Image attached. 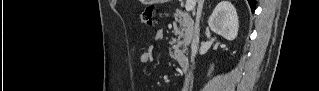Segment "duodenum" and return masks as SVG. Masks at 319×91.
<instances>
[{
	"label": "duodenum",
	"mask_w": 319,
	"mask_h": 91,
	"mask_svg": "<svg viewBox=\"0 0 319 91\" xmlns=\"http://www.w3.org/2000/svg\"><path fill=\"white\" fill-rule=\"evenodd\" d=\"M175 61L183 71H187L189 67V58L184 54H179L175 57Z\"/></svg>",
	"instance_id": "duodenum-1"
}]
</instances>
